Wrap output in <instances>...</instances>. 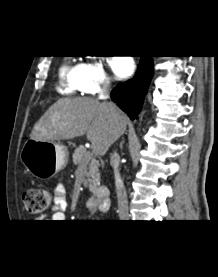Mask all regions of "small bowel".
<instances>
[{
    "instance_id": "small-bowel-1",
    "label": "small bowel",
    "mask_w": 218,
    "mask_h": 277,
    "mask_svg": "<svg viewBox=\"0 0 218 277\" xmlns=\"http://www.w3.org/2000/svg\"><path fill=\"white\" fill-rule=\"evenodd\" d=\"M68 207L67 192L63 185L58 184L53 193V210L50 215L52 220H64L65 213L64 211ZM87 208L90 211L96 210V204L93 200L87 202Z\"/></svg>"
}]
</instances>
